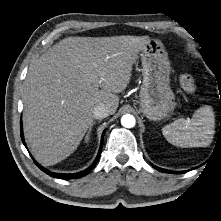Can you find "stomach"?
Segmentation results:
<instances>
[{
    "label": "stomach",
    "mask_w": 221,
    "mask_h": 221,
    "mask_svg": "<svg viewBox=\"0 0 221 221\" xmlns=\"http://www.w3.org/2000/svg\"><path fill=\"white\" fill-rule=\"evenodd\" d=\"M141 61L143 84L139 95L140 110L149 120L160 121L176 106L170 87V61L162 42L151 39L143 49Z\"/></svg>",
    "instance_id": "obj_1"
}]
</instances>
